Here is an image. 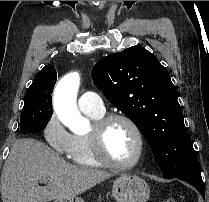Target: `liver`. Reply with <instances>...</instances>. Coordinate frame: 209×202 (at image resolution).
<instances>
[{
    "mask_svg": "<svg viewBox=\"0 0 209 202\" xmlns=\"http://www.w3.org/2000/svg\"><path fill=\"white\" fill-rule=\"evenodd\" d=\"M112 175L72 165L44 143L32 138L16 140L1 175L3 202H48L75 197ZM47 178L49 184L39 186Z\"/></svg>",
    "mask_w": 209,
    "mask_h": 202,
    "instance_id": "liver-1",
    "label": "liver"
}]
</instances>
